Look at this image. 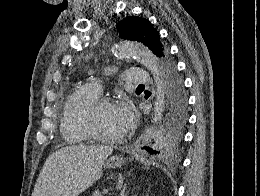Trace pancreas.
<instances>
[{"instance_id": "pancreas-1", "label": "pancreas", "mask_w": 260, "mask_h": 196, "mask_svg": "<svg viewBox=\"0 0 260 196\" xmlns=\"http://www.w3.org/2000/svg\"><path fill=\"white\" fill-rule=\"evenodd\" d=\"M106 192V190H104ZM94 196H103V192H95Z\"/></svg>"}]
</instances>
